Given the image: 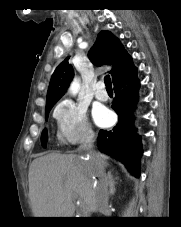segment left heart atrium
Wrapping results in <instances>:
<instances>
[{
    "label": "left heart atrium",
    "mask_w": 181,
    "mask_h": 227,
    "mask_svg": "<svg viewBox=\"0 0 181 227\" xmlns=\"http://www.w3.org/2000/svg\"><path fill=\"white\" fill-rule=\"evenodd\" d=\"M93 118L99 126H107L112 122V114L106 108H97L93 112Z\"/></svg>",
    "instance_id": "1"
}]
</instances>
